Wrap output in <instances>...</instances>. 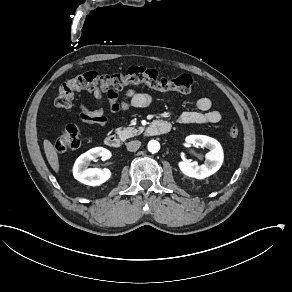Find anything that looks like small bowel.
<instances>
[{
    "label": "small bowel",
    "mask_w": 292,
    "mask_h": 292,
    "mask_svg": "<svg viewBox=\"0 0 292 292\" xmlns=\"http://www.w3.org/2000/svg\"><path fill=\"white\" fill-rule=\"evenodd\" d=\"M92 97L96 103L94 109H90L84 102L78 106L79 119L86 124L106 128L108 119L106 108L112 113L118 114L131 109L146 108L152 103V95L147 92H140L130 89L123 97L119 96L117 90L109 89L104 91L100 87L92 89ZM222 114L219 110L212 108V102L207 97H201L196 102V110H189L180 113L175 122L180 124H215L220 122Z\"/></svg>",
    "instance_id": "1"
}]
</instances>
